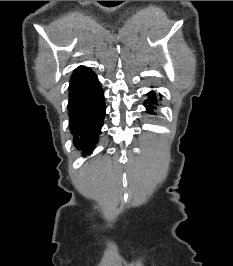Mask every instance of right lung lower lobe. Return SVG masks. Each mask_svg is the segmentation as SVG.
Returning <instances> with one entry per match:
<instances>
[{"mask_svg":"<svg viewBox=\"0 0 233 266\" xmlns=\"http://www.w3.org/2000/svg\"><path fill=\"white\" fill-rule=\"evenodd\" d=\"M104 92L95 73L80 66L73 71L69 86L71 133L77 148L92 153L105 117Z\"/></svg>","mask_w":233,"mask_h":266,"instance_id":"1","label":"right lung lower lobe"}]
</instances>
